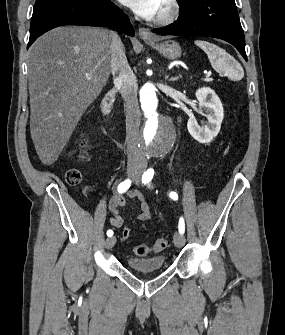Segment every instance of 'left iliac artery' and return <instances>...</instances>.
Wrapping results in <instances>:
<instances>
[{"label": "left iliac artery", "mask_w": 285, "mask_h": 335, "mask_svg": "<svg viewBox=\"0 0 285 335\" xmlns=\"http://www.w3.org/2000/svg\"><path fill=\"white\" fill-rule=\"evenodd\" d=\"M154 176V170L152 168L148 169L146 172H144V174L142 175V183L144 184H147L149 183L152 178ZM170 197L173 199V200H177L178 199V195L176 192H171L170 193ZM178 228H179V232L181 234L184 233L185 231V223H184V219L181 217L180 220H179V225H178Z\"/></svg>", "instance_id": "obj_1"}]
</instances>
